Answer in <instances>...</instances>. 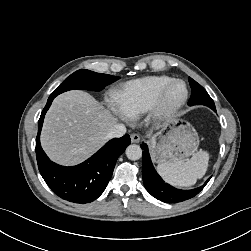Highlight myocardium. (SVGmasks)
I'll return each mask as SVG.
<instances>
[{"label":"myocardium","mask_w":251,"mask_h":251,"mask_svg":"<svg viewBox=\"0 0 251 251\" xmlns=\"http://www.w3.org/2000/svg\"><path fill=\"white\" fill-rule=\"evenodd\" d=\"M176 84H181L184 87V94L182 98L172 104L166 102V96L169 90ZM189 97V89L185 81L181 79H173L164 85L149 109V114L152 120L156 122H161L173 117L187 102Z\"/></svg>","instance_id":"obj_1"}]
</instances>
